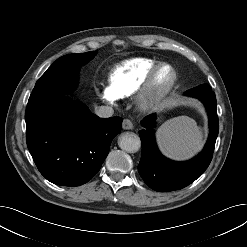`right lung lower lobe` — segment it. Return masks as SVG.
Masks as SVG:
<instances>
[{
  "mask_svg": "<svg viewBox=\"0 0 247 247\" xmlns=\"http://www.w3.org/2000/svg\"><path fill=\"white\" fill-rule=\"evenodd\" d=\"M27 146L40 173L62 186H80L101 168L121 117L99 118L66 95L29 98Z\"/></svg>",
  "mask_w": 247,
  "mask_h": 247,
  "instance_id": "obj_1",
  "label": "right lung lower lobe"
}]
</instances>
